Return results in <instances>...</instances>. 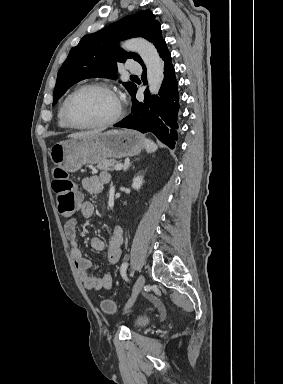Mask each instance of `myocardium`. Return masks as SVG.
<instances>
[{
	"label": "myocardium",
	"instance_id": "f54148a6",
	"mask_svg": "<svg viewBox=\"0 0 283 384\" xmlns=\"http://www.w3.org/2000/svg\"><path fill=\"white\" fill-rule=\"evenodd\" d=\"M93 89L105 91V92L109 93L114 98L115 103H116V111H115L114 115L111 118H109L108 120L100 122V123H95V124L86 125V126L74 125L70 121V118L68 115V109H69V105H70L71 100L77 94H79L83 91H86V90H93ZM122 111L123 110H122L121 100L119 99L115 89L111 85L105 84V83H89V84H84V85L78 87L77 89H75L73 92H71L66 97V99L64 101V105H63V110H62V118H63L64 124L69 129H72V130H97V129H103V128H107V127L114 125L121 118Z\"/></svg>",
	"mask_w": 283,
	"mask_h": 384
}]
</instances>
